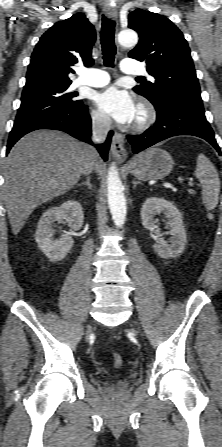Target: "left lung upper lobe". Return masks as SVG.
Segmentation results:
<instances>
[{"mask_svg":"<svg viewBox=\"0 0 222 447\" xmlns=\"http://www.w3.org/2000/svg\"><path fill=\"white\" fill-rule=\"evenodd\" d=\"M128 27L140 37L128 56L146 62L148 73L156 79L133 90L155 108L170 99L203 107L190 49L182 32L165 16L142 9L129 14Z\"/></svg>","mask_w":222,"mask_h":447,"instance_id":"obj_1","label":"left lung upper lobe"}]
</instances>
